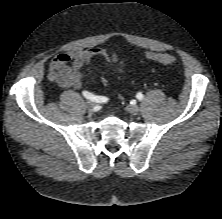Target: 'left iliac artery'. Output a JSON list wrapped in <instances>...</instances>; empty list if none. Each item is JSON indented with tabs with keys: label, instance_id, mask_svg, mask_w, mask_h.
I'll return each instance as SVG.
<instances>
[{
	"label": "left iliac artery",
	"instance_id": "obj_1",
	"mask_svg": "<svg viewBox=\"0 0 222 219\" xmlns=\"http://www.w3.org/2000/svg\"><path fill=\"white\" fill-rule=\"evenodd\" d=\"M136 97H137L138 100H142L144 98V95L142 93H138L136 95Z\"/></svg>",
	"mask_w": 222,
	"mask_h": 219
}]
</instances>
